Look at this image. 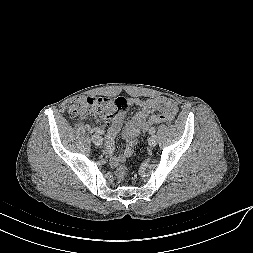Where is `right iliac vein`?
I'll use <instances>...</instances> for the list:
<instances>
[{
  "label": "right iliac vein",
  "mask_w": 253,
  "mask_h": 253,
  "mask_svg": "<svg viewBox=\"0 0 253 253\" xmlns=\"http://www.w3.org/2000/svg\"><path fill=\"white\" fill-rule=\"evenodd\" d=\"M92 141H93V143H94L95 145H98V146H99V145H102L103 139H102L101 136L95 134V135L92 136Z\"/></svg>",
  "instance_id": "obj_1"
}]
</instances>
